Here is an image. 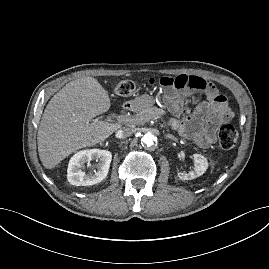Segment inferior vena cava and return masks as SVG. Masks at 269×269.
<instances>
[{"label":"inferior vena cava","instance_id":"obj_1","mask_svg":"<svg viewBox=\"0 0 269 269\" xmlns=\"http://www.w3.org/2000/svg\"><path fill=\"white\" fill-rule=\"evenodd\" d=\"M133 134V129L129 127H123L122 129L118 130L116 133V137L118 138H125L129 137Z\"/></svg>","mask_w":269,"mask_h":269}]
</instances>
